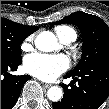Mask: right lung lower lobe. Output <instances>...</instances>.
Here are the masks:
<instances>
[{"mask_svg":"<svg viewBox=\"0 0 109 109\" xmlns=\"http://www.w3.org/2000/svg\"><path fill=\"white\" fill-rule=\"evenodd\" d=\"M21 64V60L14 63L1 62V109H11L22 90L23 85L30 79L28 75L14 76L8 73L15 71Z\"/></svg>","mask_w":109,"mask_h":109,"instance_id":"right-lung-lower-lobe-1","label":"right lung lower lobe"}]
</instances>
